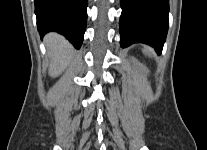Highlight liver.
<instances>
[{"instance_id": "6515ba94", "label": "liver", "mask_w": 207, "mask_h": 150, "mask_svg": "<svg viewBox=\"0 0 207 150\" xmlns=\"http://www.w3.org/2000/svg\"><path fill=\"white\" fill-rule=\"evenodd\" d=\"M48 56L50 58L49 75L59 76L71 61L73 49L60 35L50 33L45 37Z\"/></svg>"}]
</instances>
